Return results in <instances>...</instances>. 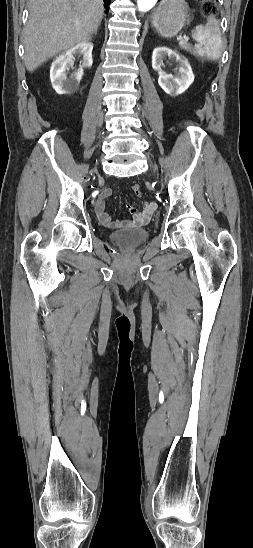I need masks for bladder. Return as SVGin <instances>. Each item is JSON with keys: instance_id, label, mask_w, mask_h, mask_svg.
Masks as SVG:
<instances>
[{"instance_id": "bladder-1", "label": "bladder", "mask_w": 253, "mask_h": 548, "mask_svg": "<svg viewBox=\"0 0 253 548\" xmlns=\"http://www.w3.org/2000/svg\"><path fill=\"white\" fill-rule=\"evenodd\" d=\"M148 237L149 232L144 228L122 229L114 231L109 235L113 243L130 247L142 244Z\"/></svg>"}]
</instances>
